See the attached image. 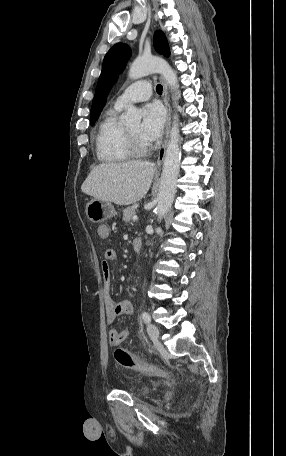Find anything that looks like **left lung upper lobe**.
Returning <instances> with one entry per match:
<instances>
[{"label":"left lung upper lobe","instance_id":"left-lung-upper-lobe-1","mask_svg":"<svg viewBox=\"0 0 286 456\" xmlns=\"http://www.w3.org/2000/svg\"><path fill=\"white\" fill-rule=\"evenodd\" d=\"M155 49L162 55L169 56V46L167 39L162 31H156L153 39ZM131 56V49L123 43L114 45L105 55L102 72L98 80L95 96L93 98L90 124L94 125L98 119L106 98L112 86L115 84L118 75L123 71L127 61Z\"/></svg>","mask_w":286,"mask_h":456}]
</instances>
